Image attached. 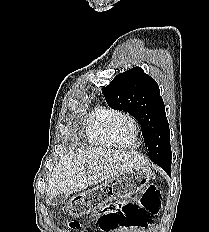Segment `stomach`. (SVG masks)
<instances>
[{
	"label": "stomach",
	"instance_id": "obj_1",
	"mask_svg": "<svg viewBox=\"0 0 209 232\" xmlns=\"http://www.w3.org/2000/svg\"><path fill=\"white\" fill-rule=\"evenodd\" d=\"M151 172L147 167L139 166L129 171H121L119 176H113L103 186L91 188L85 194H74V198L66 201V213L74 214V218H83V214L104 209L106 203H113L116 199H126L142 190L149 183Z\"/></svg>",
	"mask_w": 209,
	"mask_h": 232
}]
</instances>
